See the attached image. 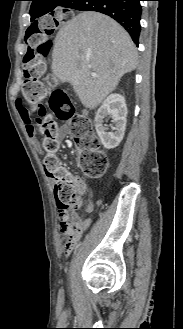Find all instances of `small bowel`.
<instances>
[{
  "mask_svg": "<svg viewBox=\"0 0 183 329\" xmlns=\"http://www.w3.org/2000/svg\"><path fill=\"white\" fill-rule=\"evenodd\" d=\"M20 118L23 121V123L25 124L26 130L29 134V136L32 139V142L35 146L38 145V140L36 137V134L34 133L32 124H33V120L31 117V114H20ZM67 128L66 126H63L59 133H58V140L62 141V139L64 138L65 134H66ZM73 177V179L76 181L77 185H78V191H79V204L78 206H80L82 204V195L84 194V192L86 191V184L85 182L80 179L77 176L71 175ZM94 207V200H91L90 204L87 207V211L91 212L93 210ZM58 217L60 219V230L62 231V223L64 222H71L75 225H77L80 228V233L90 224V220L86 219L84 221L80 220L79 216L77 215V213L75 211L66 213V214H61L58 212ZM79 233V235H80ZM79 235L76 237L75 241L73 244H69L68 240L65 242V244L62 246V251L64 254H69L70 251L72 250L77 238L79 237Z\"/></svg>",
  "mask_w": 183,
  "mask_h": 329,
  "instance_id": "small-bowel-1",
  "label": "small bowel"
}]
</instances>
